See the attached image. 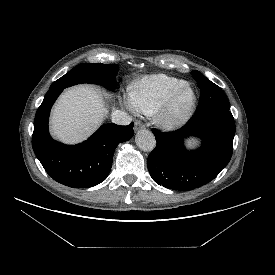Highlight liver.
<instances>
[{
    "label": "liver",
    "mask_w": 275,
    "mask_h": 275,
    "mask_svg": "<svg viewBox=\"0 0 275 275\" xmlns=\"http://www.w3.org/2000/svg\"><path fill=\"white\" fill-rule=\"evenodd\" d=\"M106 111L103 96L97 89L89 85L69 88L52 110V134L64 143L81 142L97 129Z\"/></svg>",
    "instance_id": "liver-1"
}]
</instances>
